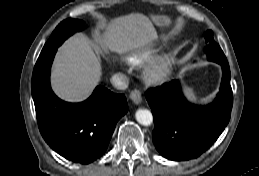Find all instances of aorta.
Masks as SVG:
<instances>
[{"mask_svg": "<svg viewBox=\"0 0 259 176\" xmlns=\"http://www.w3.org/2000/svg\"><path fill=\"white\" fill-rule=\"evenodd\" d=\"M138 123L144 126H149L153 123V115L148 109H139L135 114Z\"/></svg>", "mask_w": 259, "mask_h": 176, "instance_id": "aorta-1", "label": "aorta"}]
</instances>
